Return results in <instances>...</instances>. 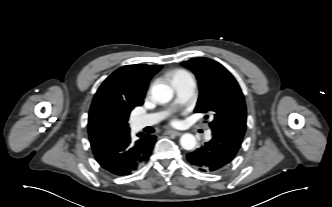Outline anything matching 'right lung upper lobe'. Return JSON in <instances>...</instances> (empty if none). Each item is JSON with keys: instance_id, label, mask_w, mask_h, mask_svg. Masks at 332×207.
Returning <instances> with one entry per match:
<instances>
[{"instance_id": "cb5924a9", "label": "right lung upper lobe", "mask_w": 332, "mask_h": 207, "mask_svg": "<svg viewBox=\"0 0 332 207\" xmlns=\"http://www.w3.org/2000/svg\"><path fill=\"white\" fill-rule=\"evenodd\" d=\"M161 68L157 65L123 66L101 84L89 113L88 132L92 147L129 131L127 111L143 104L149 81Z\"/></svg>"}]
</instances>
